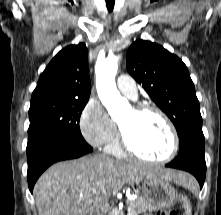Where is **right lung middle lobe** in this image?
Instances as JSON below:
<instances>
[{
	"label": "right lung middle lobe",
	"instance_id": "dd1d6c3e",
	"mask_svg": "<svg viewBox=\"0 0 221 215\" xmlns=\"http://www.w3.org/2000/svg\"><path fill=\"white\" fill-rule=\"evenodd\" d=\"M88 101H47L30 106L27 148L57 137L84 140L79 120Z\"/></svg>",
	"mask_w": 221,
	"mask_h": 215
}]
</instances>
